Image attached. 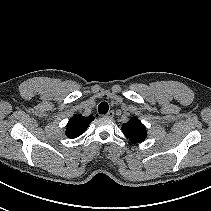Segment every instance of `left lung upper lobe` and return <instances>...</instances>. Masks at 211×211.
I'll return each instance as SVG.
<instances>
[{
    "label": "left lung upper lobe",
    "instance_id": "1",
    "mask_svg": "<svg viewBox=\"0 0 211 211\" xmlns=\"http://www.w3.org/2000/svg\"><path fill=\"white\" fill-rule=\"evenodd\" d=\"M122 131L125 136L133 143H139L146 139L147 131L145 126L136 117L124 123Z\"/></svg>",
    "mask_w": 211,
    "mask_h": 211
}]
</instances>
